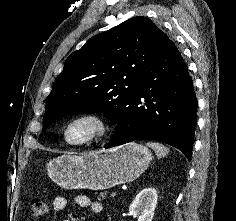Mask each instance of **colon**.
I'll list each match as a JSON object with an SVG mask.
<instances>
[{"instance_id":"5ec220e1","label":"colon","mask_w":236,"mask_h":221,"mask_svg":"<svg viewBox=\"0 0 236 221\" xmlns=\"http://www.w3.org/2000/svg\"><path fill=\"white\" fill-rule=\"evenodd\" d=\"M29 208L34 218L42 217L46 212V202L41 197H32L29 200Z\"/></svg>"}]
</instances>
